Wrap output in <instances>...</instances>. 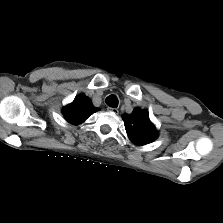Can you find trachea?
Wrapping results in <instances>:
<instances>
[{"label": "trachea", "mask_w": 223, "mask_h": 223, "mask_svg": "<svg viewBox=\"0 0 223 223\" xmlns=\"http://www.w3.org/2000/svg\"><path fill=\"white\" fill-rule=\"evenodd\" d=\"M105 102L108 106L112 108H117L118 107V98L114 95H109L106 99Z\"/></svg>", "instance_id": "obj_1"}]
</instances>
